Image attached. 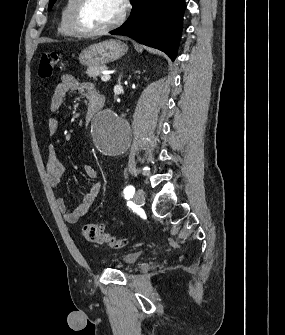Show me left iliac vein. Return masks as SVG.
Returning a JSON list of instances; mask_svg holds the SVG:
<instances>
[{"label":"left iliac vein","instance_id":"4c4485c4","mask_svg":"<svg viewBox=\"0 0 285 335\" xmlns=\"http://www.w3.org/2000/svg\"><path fill=\"white\" fill-rule=\"evenodd\" d=\"M145 200V192L143 189L139 188L134 194V201L137 204L143 203Z\"/></svg>","mask_w":285,"mask_h":335}]
</instances>
